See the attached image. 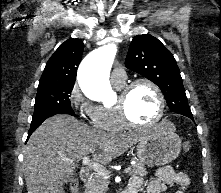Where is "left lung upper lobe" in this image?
<instances>
[{"label": "left lung upper lobe", "instance_id": "5c2ea615", "mask_svg": "<svg viewBox=\"0 0 221 193\" xmlns=\"http://www.w3.org/2000/svg\"><path fill=\"white\" fill-rule=\"evenodd\" d=\"M125 65L159 86L172 112L192 116L178 65L161 41L149 34L135 36Z\"/></svg>", "mask_w": 221, "mask_h": 193}]
</instances>
